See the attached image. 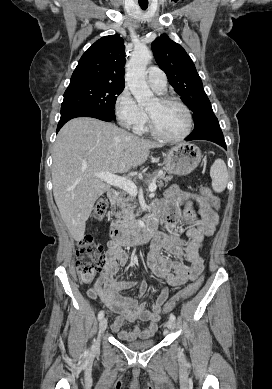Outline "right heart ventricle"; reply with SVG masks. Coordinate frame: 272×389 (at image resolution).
Wrapping results in <instances>:
<instances>
[{"label":"right heart ventricle","mask_w":272,"mask_h":389,"mask_svg":"<svg viewBox=\"0 0 272 389\" xmlns=\"http://www.w3.org/2000/svg\"><path fill=\"white\" fill-rule=\"evenodd\" d=\"M149 130V127L147 125V119L146 121L140 126L138 127L135 131L139 134H142V133H145Z\"/></svg>","instance_id":"obj_1"}]
</instances>
